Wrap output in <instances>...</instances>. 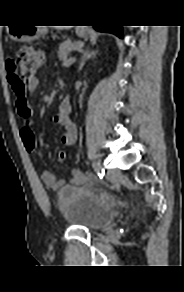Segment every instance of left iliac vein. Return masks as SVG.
<instances>
[{"label":"left iliac vein","instance_id":"obj_1","mask_svg":"<svg viewBox=\"0 0 184 292\" xmlns=\"http://www.w3.org/2000/svg\"><path fill=\"white\" fill-rule=\"evenodd\" d=\"M120 176V171L118 169H111L107 172V178L109 180H115Z\"/></svg>","mask_w":184,"mask_h":292}]
</instances>
